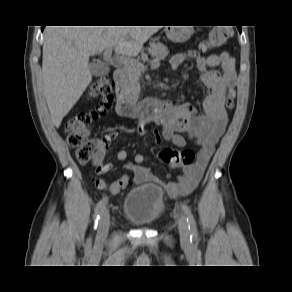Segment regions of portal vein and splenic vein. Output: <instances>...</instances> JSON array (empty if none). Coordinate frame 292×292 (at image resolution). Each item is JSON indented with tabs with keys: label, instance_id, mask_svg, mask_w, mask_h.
Segmentation results:
<instances>
[{
	"label": "portal vein and splenic vein",
	"instance_id": "portal-vein-and-splenic-vein-1",
	"mask_svg": "<svg viewBox=\"0 0 292 292\" xmlns=\"http://www.w3.org/2000/svg\"><path fill=\"white\" fill-rule=\"evenodd\" d=\"M103 58L105 61L113 62L115 61L116 64H123L124 66H137V68L141 69L142 71L145 70V66L134 60L131 56H127L124 54H117L115 57L112 56V48H107L104 51ZM160 66V60L156 59L151 63L152 68H158Z\"/></svg>",
	"mask_w": 292,
	"mask_h": 292
}]
</instances>
